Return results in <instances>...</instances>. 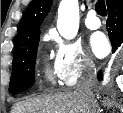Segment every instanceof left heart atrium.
I'll list each match as a JSON object with an SVG mask.
<instances>
[{
    "mask_svg": "<svg viewBox=\"0 0 123 113\" xmlns=\"http://www.w3.org/2000/svg\"><path fill=\"white\" fill-rule=\"evenodd\" d=\"M90 46L95 56L101 58L108 54L110 46L106 36L101 33H95L90 38Z\"/></svg>",
    "mask_w": 123,
    "mask_h": 113,
    "instance_id": "1",
    "label": "left heart atrium"
}]
</instances>
